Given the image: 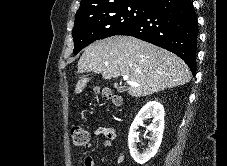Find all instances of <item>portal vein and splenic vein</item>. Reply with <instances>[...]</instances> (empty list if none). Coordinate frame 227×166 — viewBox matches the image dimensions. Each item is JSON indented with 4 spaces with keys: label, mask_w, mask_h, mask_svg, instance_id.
Instances as JSON below:
<instances>
[{
    "label": "portal vein and splenic vein",
    "mask_w": 227,
    "mask_h": 166,
    "mask_svg": "<svg viewBox=\"0 0 227 166\" xmlns=\"http://www.w3.org/2000/svg\"><path fill=\"white\" fill-rule=\"evenodd\" d=\"M123 80L126 81L129 85L131 86H139L136 82H133V81H129L128 80V76H124L123 77Z\"/></svg>",
    "instance_id": "obj_1"
}]
</instances>
